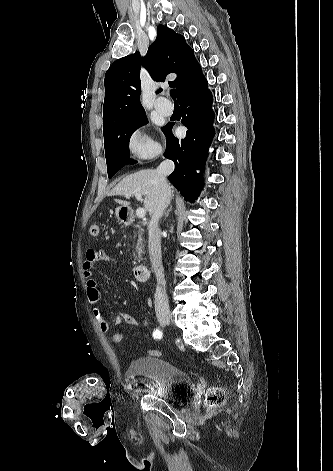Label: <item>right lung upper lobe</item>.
Masks as SVG:
<instances>
[{"mask_svg": "<svg viewBox=\"0 0 333 471\" xmlns=\"http://www.w3.org/2000/svg\"><path fill=\"white\" fill-rule=\"evenodd\" d=\"M142 63L155 81H164L169 73H176L177 78L169 84L176 87L178 99L202 74L193 50L184 37L159 25L156 40L149 46L143 59L137 51L116 60L107 70L104 79L103 132L116 123L145 112L139 99ZM161 91L160 88L158 92Z\"/></svg>", "mask_w": 333, "mask_h": 471, "instance_id": "obj_1", "label": "right lung upper lobe"}]
</instances>
